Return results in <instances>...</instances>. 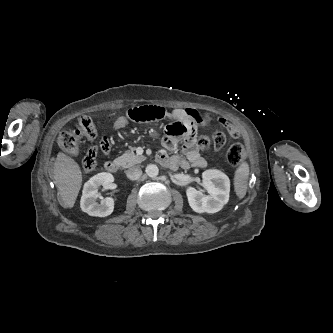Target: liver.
I'll return each instance as SVG.
<instances>
[{"mask_svg": "<svg viewBox=\"0 0 333 333\" xmlns=\"http://www.w3.org/2000/svg\"><path fill=\"white\" fill-rule=\"evenodd\" d=\"M54 183L58 196L65 207L72 208L82 184V173L78 163L59 152L55 161Z\"/></svg>", "mask_w": 333, "mask_h": 333, "instance_id": "liver-1", "label": "liver"}]
</instances>
